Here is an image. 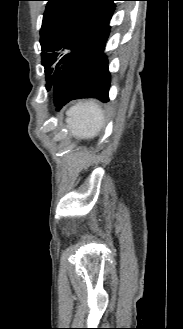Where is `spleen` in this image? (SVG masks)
<instances>
[{
	"label": "spleen",
	"instance_id": "1",
	"mask_svg": "<svg viewBox=\"0 0 183 329\" xmlns=\"http://www.w3.org/2000/svg\"><path fill=\"white\" fill-rule=\"evenodd\" d=\"M66 114L67 127L74 137L92 139L105 125L104 112L94 100L79 101Z\"/></svg>",
	"mask_w": 183,
	"mask_h": 329
}]
</instances>
